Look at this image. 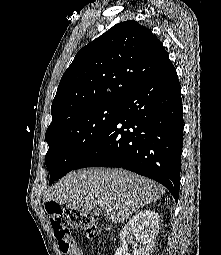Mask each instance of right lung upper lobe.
<instances>
[{"mask_svg":"<svg viewBox=\"0 0 221 255\" xmlns=\"http://www.w3.org/2000/svg\"><path fill=\"white\" fill-rule=\"evenodd\" d=\"M168 60L148 28L131 20L116 24L80 49L63 74L48 129L79 110L120 103Z\"/></svg>","mask_w":221,"mask_h":255,"instance_id":"right-lung-upper-lobe-1","label":"right lung upper lobe"}]
</instances>
